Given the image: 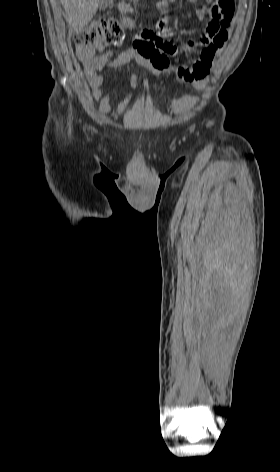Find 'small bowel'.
Returning <instances> with one entry per match:
<instances>
[{
  "label": "small bowel",
  "instance_id": "small-bowel-1",
  "mask_svg": "<svg viewBox=\"0 0 280 472\" xmlns=\"http://www.w3.org/2000/svg\"><path fill=\"white\" fill-rule=\"evenodd\" d=\"M195 3L198 0H186ZM211 1V0H207ZM209 10L207 7H199L196 15L199 21H205ZM228 27L226 25H214L207 23L204 33L197 41L187 42L184 52L193 58L191 64L175 67V73L182 81L190 82L194 89L204 90L208 83V74L216 53L223 47L228 39ZM171 30L166 21L161 20L155 29H144L135 38L133 48L123 52L118 57L111 59L107 53L95 54V49L77 45L76 53L84 66V74L89 83L93 97L99 102L100 110L109 113L111 110V95L104 88V77L98 72L104 68H122L131 62L146 68L153 75H162L169 71V56L176 54L177 47L168 40ZM102 51V47L98 48ZM138 82V76L132 73L129 76V86L134 89ZM131 94L124 98L117 107V114L122 115L130 100ZM198 101L195 95H186L174 99L171 110L175 115L183 114L191 109Z\"/></svg>",
  "mask_w": 280,
  "mask_h": 472
}]
</instances>
